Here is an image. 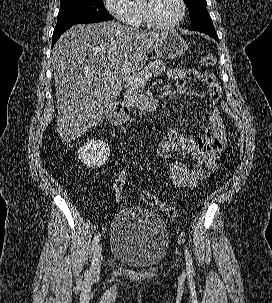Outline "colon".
I'll list each match as a JSON object with an SVG mask.
<instances>
[{
	"mask_svg": "<svg viewBox=\"0 0 272 303\" xmlns=\"http://www.w3.org/2000/svg\"><path fill=\"white\" fill-rule=\"evenodd\" d=\"M215 61L216 59L214 55L207 54L201 58L200 63L204 66H212L215 64ZM222 108L237 127V131H238L237 150L241 154L244 147L243 123L240 117L231 108H229V106L225 102H222ZM125 178H126L125 171H120L113 183L114 196L118 202L122 201L123 199ZM139 197L144 203L148 205L156 206L168 217L175 218L178 216V211L176 210L175 207L160 201L155 195H153L151 192L147 190L140 191Z\"/></svg>",
	"mask_w": 272,
	"mask_h": 303,
	"instance_id": "obj_1",
	"label": "colon"
}]
</instances>
